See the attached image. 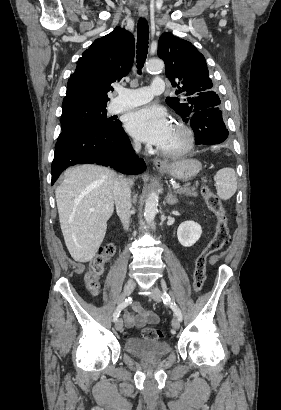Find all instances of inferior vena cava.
<instances>
[{"label": "inferior vena cava", "mask_w": 281, "mask_h": 410, "mask_svg": "<svg viewBox=\"0 0 281 410\" xmlns=\"http://www.w3.org/2000/svg\"><path fill=\"white\" fill-rule=\"evenodd\" d=\"M140 143L135 142L134 149L139 152ZM113 198L117 214L125 230H128L131 216V191L128 182L123 178H116L113 187Z\"/></svg>", "instance_id": "inferior-vena-cava-1"}]
</instances>
